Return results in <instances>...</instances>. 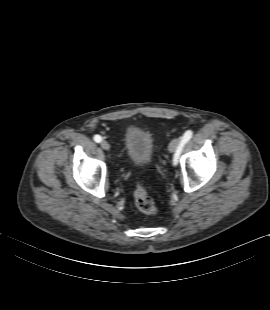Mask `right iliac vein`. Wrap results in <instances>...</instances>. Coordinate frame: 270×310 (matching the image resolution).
Here are the masks:
<instances>
[{
    "label": "right iliac vein",
    "mask_w": 270,
    "mask_h": 310,
    "mask_svg": "<svg viewBox=\"0 0 270 310\" xmlns=\"http://www.w3.org/2000/svg\"><path fill=\"white\" fill-rule=\"evenodd\" d=\"M101 147H102V149H104V150H106V151L110 150V145H109V143L106 142V141H102V142H101Z\"/></svg>",
    "instance_id": "obj_1"
}]
</instances>
